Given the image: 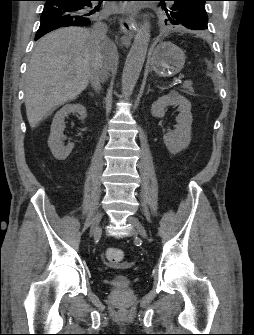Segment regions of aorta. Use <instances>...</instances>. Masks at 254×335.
I'll return each mask as SVG.
<instances>
[{"mask_svg":"<svg viewBox=\"0 0 254 335\" xmlns=\"http://www.w3.org/2000/svg\"><path fill=\"white\" fill-rule=\"evenodd\" d=\"M148 15H146L147 17ZM151 36V25L146 18L138 29L127 55L122 73V94L129 97L139 79Z\"/></svg>","mask_w":254,"mask_h":335,"instance_id":"1","label":"aorta"}]
</instances>
